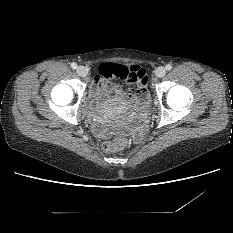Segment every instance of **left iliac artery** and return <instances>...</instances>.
I'll return each mask as SVG.
<instances>
[{"label": "left iliac artery", "instance_id": "44dca946", "mask_svg": "<svg viewBox=\"0 0 233 233\" xmlns=\"http://www.w3.org/2000/svg\"><path fill=\"white\" fill-rule=\"evenodd\" d=\"M165 68L167 69V70H171L172 69V65L171 64H167L166 66H165Z\"/></svg>", "mask_w": 233, "mask_h": 233}]
</instances>
